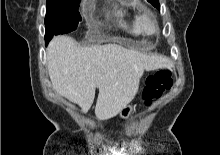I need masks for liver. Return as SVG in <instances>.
<instances>
[{
    "instance_id": "1",
    "label": "liver",
    "mask_w": 220,
    "mask_h": 155,
    "mask_svg": "<svg viewBox=\"0 0 220 155\" xmlns=\"http://www.w3.org/2000/svg\"><path fill=\"white\" fill-rule=\"evenodd\" d=\"M47 67L53 89L78 104L83 113L91 108L96 88L95 115L108 120L136 96L144 71L170 68L171 61L118 44L80 47L69 36H55L47 49Z\"/></svg>"
}]
</instances>
